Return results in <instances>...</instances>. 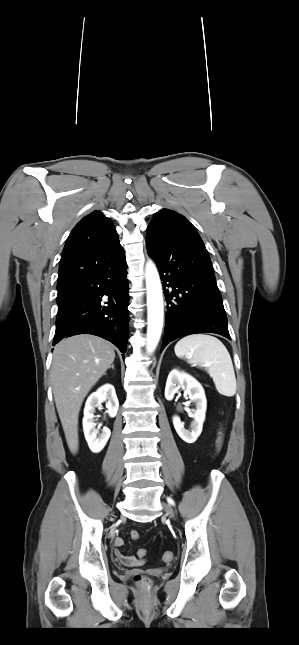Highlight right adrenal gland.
<instances>
[{
    "instance_id": "1",
    "label": "right adrenal gland",
    "mask_w": 299,
    "mask_h": 645,
    "mask_svg": "<svg viewBox=\"0 0 299 645\" xmlns=\"http://www.w3.org/2000/svg\"><path fill=\"white\" fill-rule=\"evenodd\" d=\"M111 368L114 370V364L111 366Z\"/></svg>"
}]
</instances>
